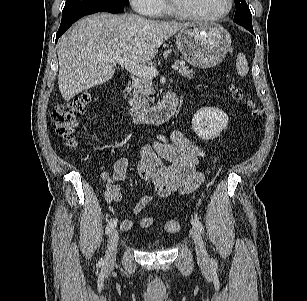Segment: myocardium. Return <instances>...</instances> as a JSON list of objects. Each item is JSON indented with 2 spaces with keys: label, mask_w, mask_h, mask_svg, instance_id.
<instances>
[{
  "label": "myocardium",
  "mask_w": 307,
  "mask_h": 301,
  "mask_svg": "<svg viewBox=\"0 0 307 301\" xmlns=\"http://www.w3.org/2000/svg\"><path fill=\"white\" fill-rule=\"evenodd\" d=\"M165 6L167 11L173 16L193 21H215L222 19L229 15L234 7V0H228L227 8L218 14L213 15H203L189 12L188 10L181 7L178 3L173 0H165Z\"/></svg>",
  "instance_id": "1"
}]
</instances>
